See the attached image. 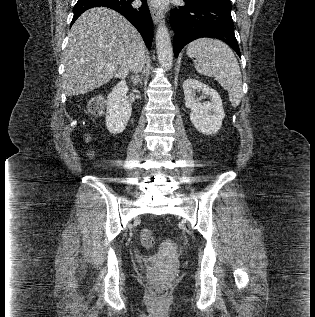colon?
Instances as JSON below:
<instances>
[{
    "mask_svg": "<svg viewBox=\"0 0 315 317\" xmlns=\"http://www.w3.org/2000/svg\"><path fill=\"white\" fill-rule=\"evenodd\" d=\"M95 111L99 112L101 110V105L99 102L94 103ZM140 240L142 245L147 249H152L154 247V234L150 229H142L140 232ZM150 296L154 300H162L167 295V287L164 282L159 279L153 278L149 281Z\"/></svg>",
    "mask_w": 315,
    "mask_h": 317,
    "instance_id": "1",
    "label": "colon"
}]
</instances>
